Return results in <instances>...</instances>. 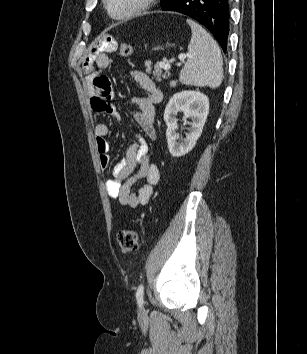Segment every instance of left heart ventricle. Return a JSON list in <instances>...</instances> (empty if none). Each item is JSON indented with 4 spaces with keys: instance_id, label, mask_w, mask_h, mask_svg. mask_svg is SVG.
I'll return each mask as SVG.
<instances>
[{
    "instance_id": "left-heart-ventricle-1",
    "label": "left heart ventricle",
    "mask_w": 307,
    "mask_h": 354,
    "mask_svg": "<svg viewBox=\"0 0 307 354\" xmlns=\"http://www.w3.org/2000/svg\"><path fill=\"white\" fill-rule=\"evenodd\" d=\"M138 0H110V8L114 14H121L131 9Z\"/></svg>"
}]
</instances>
